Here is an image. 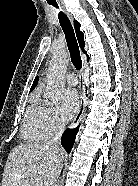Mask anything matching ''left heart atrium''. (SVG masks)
<instances>
[{
  "label": "left heart atrium",
  "mask_w": 138,
  "mask_h": 186,
  "mask_svg": "<svg viewBox=\"0 0 138 186\" xmlns=\"http://www.w3.org/2000/svg\"><path fill=\"white\" fill-rule=\"evenodd\" d=\"M79 108V97L74 89H65L61 94L60 116L63 120L71 119Z\"/></svg>",
  "instance_id": "obj_1"
}]
</instances>
